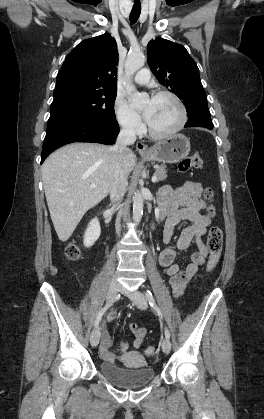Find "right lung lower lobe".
Instances as JSON below:
<instances>
[{"instance_id":"1","label":"right lung lower lobe","mask_w":264,"mask_h":419,"mask_svg":"<svg viewBox=\"0 0 264 419\" xmlns=\"http://www.w3.org/2000/svg\"><path fill=\"white\" fill-rule=\"evenodd\" d=\"M119 133L116 120H78L65 123L46 133L41 163L57 148L72 142L113 144Z\"/></svg>"}]
</instances>
